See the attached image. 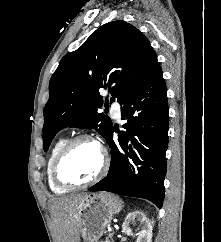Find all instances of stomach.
Returning a JSON list of instances; mask_svg holds the SVG:
<instances>
[{
  "mask_svg": "<svg viewBox=\"0 0 221 242\" xmlns=\"http://www.w3.org/2000/svg\"><path fill=\"white\" fill-rule=\"evenodd\" d=\"M122 209V201L109 193L87 195L76 207L79 236L84 242H98L108 223Z\"/></svg>",
  "mask_w": 221,
  "mask_h": 242,
  "instance_id": "0dacf381",
  "label": "stomach"
}]
</instances>
